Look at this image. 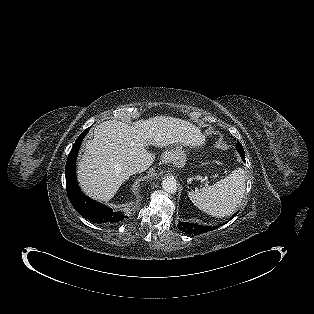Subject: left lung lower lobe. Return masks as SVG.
<instances>
[{"instance_id": "0a47b994", "label": "left lung lower lobe", "mask_w": 314, "mask_h": 314, "mask_svg": "<svg viewBox=\"0 0 314 314\" xmlns=\"http://www.w3.org/2000/svg\"><path fill=\"white\" fill-rule=\"evenodd\" d=\"M240 155H241L242 160L245 161V153H240ZM235 216H236V214L233 217H235ZM178 228H179V230H181L185 233L198 235L201 233L212 231V230L216 229L217 227L201 226V225L193 224V223L179 222Z\"/></svg>"}]
</instances>
